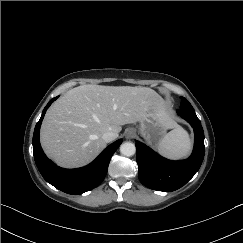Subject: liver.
I'll return each instance as SVG.
<instances>
[{"instance_id":"obj_1","label":"liver","mask_w":243,"mask_h":243,"mask_svg":"<svg viewBox=\"0 0 243 243\" xmlns=\"http://www.w3.org/2000/svg\"><path fill=\"white\" fill-rule=\"evenodd\" d=\"M155 100L147 87H75L47 111L40 131L42 148L62 167L84 166L105 148V132L118 137L121 126L140 122Z\"/></svg>"}]
</instances>
